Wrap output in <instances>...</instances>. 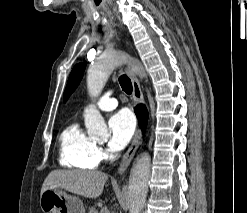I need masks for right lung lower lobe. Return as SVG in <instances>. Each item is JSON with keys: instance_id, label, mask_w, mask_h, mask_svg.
Segmentation results:
<instances>
[{"instance_id": "obj_1", "label": "right lung lower lobe", "mask_w": 247, "mask_h": 213, "mask_svg": "<svg viewBox=\"0 0 247 213\" xmlns=\"http://www.w3.org/2000/svg\"><path fill=\"white\" fill-rule=\"evenodd\" d=\"M137 117L140 122V126L142 129H145L146 124H147V110L144 105H138L137 108L134 109Z\"/></svg>"}]
</instances>
